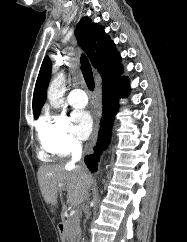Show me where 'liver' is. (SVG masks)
<instances>
[{
    "instance_id": "liver-1",
    "label": "liver",
    "mask_w": 187,
    "mask_h": 242,
    "mask_svg": "<svg viewBox=\"0 0 187 242\" xmlns=\"http://www.w3.org/2000/svg\"><path fill=\"white\" fill-rule=\"evenodd\" d=\"M38 181L44 200L53 208L57 206L58 195L62 190L67 191V203L71 207L80 205L87 199L93 183L92 175L86 169L62 163L41 166L38 170ZM62 210L64 214L67 210L65 204Z\"/></svg>"
}]
</instances>
